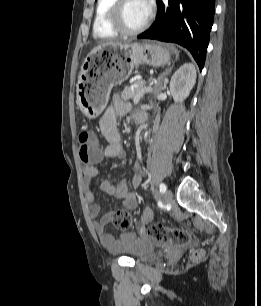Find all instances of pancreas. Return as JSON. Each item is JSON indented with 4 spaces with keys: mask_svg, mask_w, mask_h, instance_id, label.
I'll use <instances>...</instances> for the list:
<instances>
[{
    "mask_svg": "<svg viewBox=\"0 0 261 306\" xmlns=\"http://www.w3.org/2000/svg\"><path fill=\"white\" fill-rule=\"evenodd\" d=\"M147 89L146 83L144 81H137L133 83L130 87H125V89L121 93V97L123 100L127 101L129 99H134L136 96L142 97L146 93H151L153 88L151 87L149 91H145ZM158 92V89H155V93Z\"/></svg>",
    "mask_w": 261,
    "mask_h": 306,
    "instance_id": "cf45deb5",
    "label": "pancreas"
}]
</instances>
